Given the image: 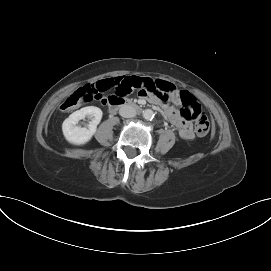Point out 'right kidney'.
I'll return each mask as SVG.
<instances>
[{
    "label": "right kidney",
    "instance_id": "1",
    "mask_svg": "<svg viewBox=\"0 0 271 271\" xmlns=\"http://www.w3.org/2000/svg\"><path fill=\"white\" fill-rule=\"evenodd\" d=\"M103 112L100 108L87 106L73 112L62 124V131L66 140L75 145H82L91 140L97 125L102 119ZM85 117L91 119L88 128L78 126V122Z\"/></svg>",
    "mask_w": 271,
    "mask_h": 271
}]
</instances>
